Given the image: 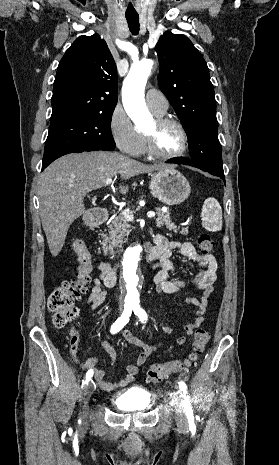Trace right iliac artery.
<instances>
[{
	"label": "right iliac artery",
	"instance_id": "right-iliac-artery-1",
	"mask_svg": "<svg viewBox=\"0 0 279 465\" xmlns=\"http://www.w3.org/2000/svg\"><path fill=\"white\" fill-rule=\"evenodd\" d=\"M133 307L132 306H125L123 314L113 323L111 326V333L115 334L119 332L128 322H129V317L132 313ZM93 376V371L89 370L86 373V377L82 382V388L86 384H88L89 380Z\"/></svg>",
	"mask_w": 279,
	"mask_h": 465
}]
</instances>
